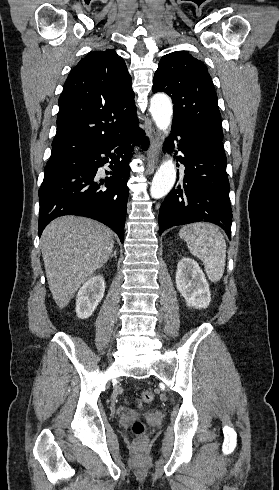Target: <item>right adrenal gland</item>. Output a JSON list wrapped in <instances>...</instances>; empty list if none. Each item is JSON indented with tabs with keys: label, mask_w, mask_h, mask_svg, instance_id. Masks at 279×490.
Returning a JSON list of instances; mask_svg holds the SVG:
<instances>
[{
	"label": "right adrenal gland",
	"mask_w": 279,
	"mask_h": 490,
	"mask_svg": "<svg viewBox=\"0 0 279 490\" xmlns=\"http://www.w3.org/2000/svg\"><path fill=\"white\" fill-rule=\"evenodd\" d=\"M116 254H117V250H115V252H112L110 258H117Z\"/></svg>",
	"instance_id": "right-adrenal-gland-1"
}]
</instances>
